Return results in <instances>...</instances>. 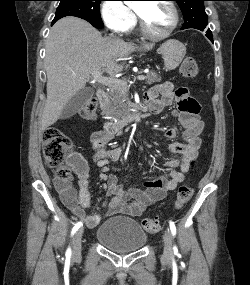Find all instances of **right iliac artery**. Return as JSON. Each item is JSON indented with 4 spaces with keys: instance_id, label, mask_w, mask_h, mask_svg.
I'll return each mask as SVG.
<instances>
[{
    "instance_id": "right-iliac-artery-1",
    "label": "right iliac artery",
    "mask_w": 250,
    "mask_h": 285,
    "mask_svg": "<svg viewBox=\"0 0 250 285\" xmlns=\"http://www.w3.org/2000/svg\"><path fill=\"white\" fill-rule=\"evenodd\" d=\"M81 225H82V222H78L75 224V226L72 228L71 236H73L76 233V231L81 227ZM66 256L67 257L71 256V248L70 247L66 251Z\"/></svg>"
}]
</instances>
